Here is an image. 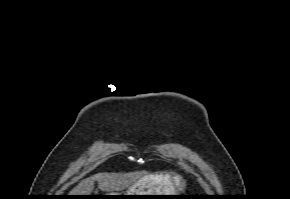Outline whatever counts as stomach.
I'll return each mask as SVG.
<instances>
[{"mask_svg":"<svg viewBox=\"0 0 290 199\" xmlns=\"http://www.w3.org/2000/svg\"><path fill=\"white\" fill-rule=\"evenodd\" d=\"M165 178L146 176L132 184L125 192H113L107 195H177ZM115 199H153L169 196H113Z\"/></svg>","mask_w":290,"mask_h":199,"instance_id":"obj_1","label":"stomach"}]
</instances>
